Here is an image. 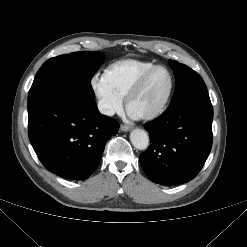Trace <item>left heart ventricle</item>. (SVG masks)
Instances as JSON below:
<instances>
[{"label": "left heart ventricle", "instance_id": "b2bd125f", "mask_svg": "<svg viewBox=\"0 0 247 247\" xmlns=\"http://www.w3.org/2000/svg\"><path fill=\"white\" fill-rule=\"evenodd\" d=\"M168 73L159 69L151 76L143 92L133 101L131 109L137 114H143L158 105L169 89Z\"/></svg>", "mask_w": 247, "mask_h": 247}]
</instances>
